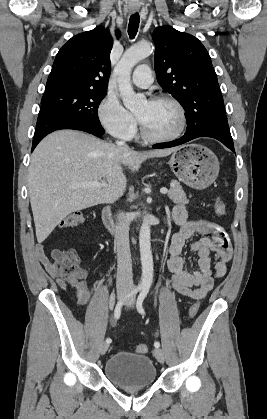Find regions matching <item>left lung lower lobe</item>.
I'll return each mask as SVG.
<instances>
[{
    "mask_svg": "<svg viewBox=\"0 0 267 419\" xmlns=\"http://www.w3.org/2000/svg\"><path fill=\"white\" fill-rule=\"evenodd\" d=\"M220 119L221 115L218 113L205 114L187 126L186 133L181 138L171 142L153 145V148H170L198 137H211L219 140L235 153L228 123L226 121L219 124Z\"/></svg>",
    "mask_w": 267,
    "mask_h": 419,
    "instance_id": "obj_1",
    "label": "left lung lower lobe"
}]
</instances>
